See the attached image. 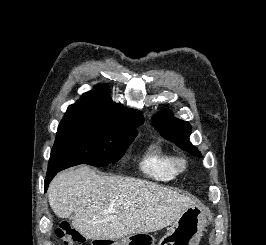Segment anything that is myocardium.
Returning <instances> with one entry per match:
<instances>
[{"label":"myocardium","instance_id":"1","mask_svg":"<svg viewBox=\"0 0 266 245\" xmlns=\"http://www.w3.org/2000/svg\"><path fill=\"white\" fill-rule=\"evenodd\" d=\"M175 163H176V169L180 174L186 173L190 166L189 159L184 155L176 156Z\"/></svg>","mask_w":266,"mask_h":245}]
</instances>
